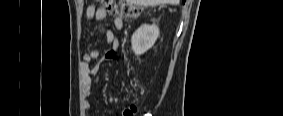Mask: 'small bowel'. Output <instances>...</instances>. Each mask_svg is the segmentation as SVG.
Returning <instances> with one entry per match:
<instances>
[{
    "mask_svg": "<svg viewBox=\"0 0 283 116\" xmlns=\"http://www.w3.org/2000/svg\"><path fill=\"white\" fill-rule=\"evenodd\" d=\"M85 17L88 21H92L94 19L103 21L109 18V14L103 7L90 5L85 11ZM113 24L116 30H121L123 27V20L120 17H114ZM106 48L107 52L103 59L99 58L100 53L97 49L85 53L82 57L79 69L82 74L83 89L86 97H90L94 92L91 76L98 72L100 62L114 58L115 51L119 48V40L115 33L110 29L106 31ZM95 60L98 62L91 67L90 63ZM84 106L86 109H90L91 107L88 101L85 102Z\"/></svg>",
    "mask_w": 283,
    "mask_h": 116,
    "instance_id": "1",
    "label": "small bowel"
}]
</instances>
